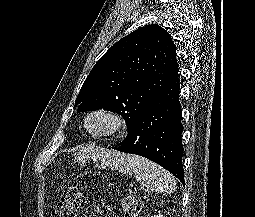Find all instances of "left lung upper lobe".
<instances>
[{
	"instance_id": "obj_1",
	"label": "left lung upper lobe",
	"mask_w": 255,
	"mask_h": 217,
	"mask_svg": "<svg viewBox=\"0 0 255 217\" xmlns=\"http://www.w3.org/2000/svg\"><path fill=\"white\" fill-rule=\"evenodd\" d=\"M176 45L156 24L116 42L98 60L76 98L77 112L104 108L121 114L128 131L178 74Z\"/></svg>"
}]
</instances>
